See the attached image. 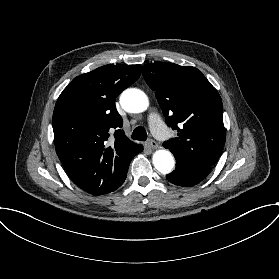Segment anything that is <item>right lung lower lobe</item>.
Masks as SVG:
<instances>
[{
    "label": "right lung lower lobe",
    "mask_w": 279,
    "mask_h": 279,
    "mask_svg": "<svg viewBox=\"0 0 279 279\" xmlns=\"http://www.w3.org/2000/svg\"><path fill=\"white\" fill-rule=\"evenodd\" d=\"M125 179H126V177H125ZM125 179L119 184V186H118L117 188H119V187L123 184V182L125 181Z\"/></svg>",
    "instance_id": "right-lung-lower-lobe-1"
}]
</instances>
